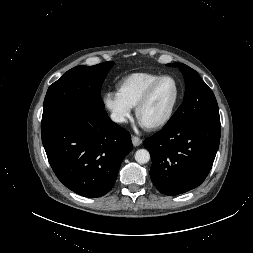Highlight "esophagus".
Listing matches in <instances>:
<instances>
[{"label": "esophagus", "mask_w": 253, "mask_h": 253, "mask_svg": "<svg viewBox=\"0 0 253 253\" xmlns=\"http://www.w3.org/2000/svg\"><path fill=\"white\" fill-rule=\"evenodd\" d=\"M131 140L134 146H139L142 143V140L137 136H132Z\"/></svg>", "instance_id": "esophagus-1"}]
</instances>
